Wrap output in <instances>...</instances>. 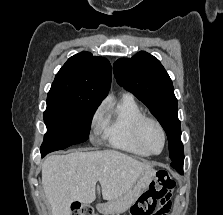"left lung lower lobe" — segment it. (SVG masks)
<instances>
[{
	"instance_id": "obj_1",
	"label": "left lung lower lobe",
	"mask_w": 223,
	"mask_h": 215,
	"mask_svg": "<svg viewBox=\"0 0 223 215\" xmlns=\"http://www.w3.org/2000/svg\"><path fill=\"white\" fill-rule=\"evenodd\" d=\"M175 168L180 174H183V166H175Z\"/></svg>"
}]
</instances>
